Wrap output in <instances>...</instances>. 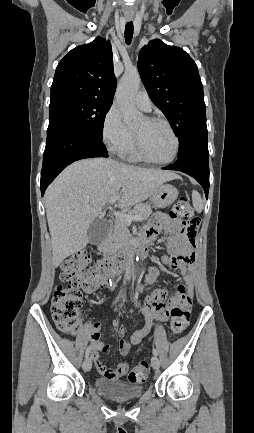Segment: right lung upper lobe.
Masks as SVG:
<instances>
[{
	"label": "right lung upper lobe",
	"instance_id": "obj_1",
	"mask_svg": "<svg viewBox=\"0 0 254 433\" xmlns=\"http://www.w3.org/2000/svg\"><path fill=\"white\" fill-rule=\"evenodd\" d=\"M116 89L110 42L96 38L72 49L58 64L50 104L69 99L112 104Z\"/></svg>",
	"mask_w": 254,
	"mask_h": 433
}]
</instances>
